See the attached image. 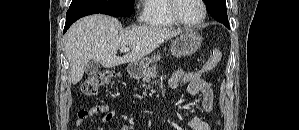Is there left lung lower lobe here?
I'll list each match as a JSON object with an SVG mask.
<instances>
[{"label": "left lung lower lobe", "mask_w": 299, "mask_h": 130, "mask_svg": "<svg viewBox=\"0 0 299 130\" xmlns=\"http://www.w3.org/2000/svg\"><path fill=\"white\" fill-rule=\"evenodd\" d=\"M221 23H223L227 28H230V26H229V22L227 21H224V22H221Z\"/></svg>", "instance_id": "left-lung-lower-lobe-1"}]
</instances>
